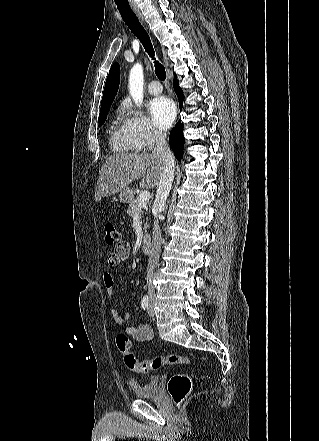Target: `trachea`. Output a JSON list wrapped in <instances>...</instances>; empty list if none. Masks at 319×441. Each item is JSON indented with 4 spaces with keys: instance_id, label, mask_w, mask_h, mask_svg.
I'll return each mask as SVG.
<instances>
[{
    "instance_id": "obj_1",
    "label": "trachea",
    "mask_w": 319,
    "mask_h": 441,
    "mask_svg": "<svg viewBox=\"0 0 319 441\" xmlns=\"http://www.w3.org/2000/svg\"><path fill=\"white\" fill-rule=\"evenodd\" d=\"M117 8L123 18L125 24L129 27V29L133 32V34L140 40L142 45L144 46L146 52L149 56L155 60L154 58V49L150 40L149 35L139 22L136 14L131 9L130 6L126 5H117ZM155 64V73L159 80L164 81L166 79V71L164 66L157 60L154 61Z\"/></svg>"
}]
</instances>
